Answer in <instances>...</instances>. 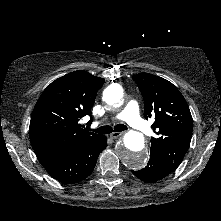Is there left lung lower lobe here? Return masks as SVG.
<instances>
[{
    "label": "left lung lower lobe",
    "instance_id": "1",
    "mask_svg": "<svg viewBox=\"0 0 221 221\" xmlns=\"http://www.w3.org/2000/svg\"><path fill=\"white\" fill-rule=\"evenodd\" d=\"M171 172L172 171L167 169L165 165L157 157L152 155L150 156L148 164L145 168L139 171H132V173L135 176H137L139 179L145 182L158 181L166 177Z\"/></svg>",
    "mask_w": 221,
    "mask_h": 221
}]
</instances>
